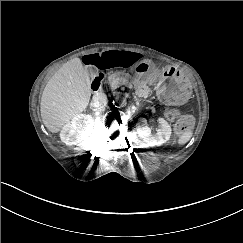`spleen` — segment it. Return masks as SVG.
<instances>
[{"label":"spleen","instance_id":"1","mask_svg":"<svg viewBox=\"0 0 243 243\" xmlns=\"http://www.w3.org/2000/svg\"><path fill=\"white\" fill-rule=\"evenodd\" d=\"M192 135H193L192 130H191V129H186V130L180 135V137H179V139H178V144L183 145V144L187 143V142L190 140V138L192 137Z\"/></svg>","mask_w":243,"mask_h":243}]
</instances>
